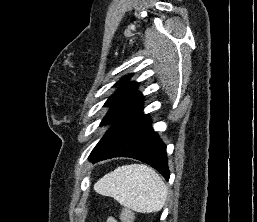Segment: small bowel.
<instances>
[{
  "mask_svg": "<svg viewBox=\"0 0 257 222\" xmlns=\"http://www.w3.org/2000/svg\"><path fill=\"white\" fill-rule=\"evenodd\" d=\"M106 222H117L114 218L110 217Z\"/></svg>",
  "mask_w": 257,
  "mask_h": 222,
  "instance_id": "1",
  "label": "small bowel"
}]
</instances>
